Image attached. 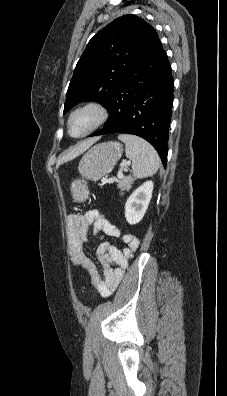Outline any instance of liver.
<instances>
[{"label":"liver","mask_w":227,"mask_h":396,"mask_svg":"<svg viewBox=\"0 0 227 396\" xmlns=\"http://www.w3.org/2000/svg\"><path fill=\"white\" fill-rule=\"evenodd\" d=\"M97 139H91L82 142L75 148H73L70 152H68L65 156H63L57 163V166H60L62 163L72 160L79 156L81 153L86 151Z\"/></svg>","instance_id":"1"}]
</instances>
